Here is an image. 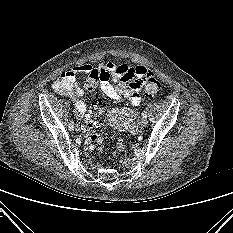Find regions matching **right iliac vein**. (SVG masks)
Segmentation results:
<instances>
[{"instance_id":"1","label":"right iliac vein","mask_w":233,"mask_h":233,"mask_svg":"<svg viewBox=\"0 0 233 233\" xmlns=\"http://www.w3.org/2000/svg\"><path fill=\"white\" fill-rule=\"evenodd\" d=\"M75 130H76V131H79V130H80V126H79L78 124L76 125Z\"/></svg>"}]
</instances>
